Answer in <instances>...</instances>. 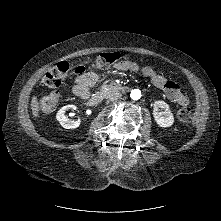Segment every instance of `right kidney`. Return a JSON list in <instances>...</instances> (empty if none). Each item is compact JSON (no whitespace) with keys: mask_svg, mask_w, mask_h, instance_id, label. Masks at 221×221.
Here are the masks:
<instances>
[{"mask_svg":"<svg viewBox=\"0 0 221 221\" xmlns=\"http://www.w3.org/2000/svg\"><path fill=\"white\" fill-rule=\"evenodd\" d=\"M69 109H73L75 110L76 107L74 105H66L63 106L62 108H60L56 114V118L59 121V123L61 124L62 127H64L65 129H75L80 125V120H70L66 115V111H68Z\"/></svg>","mask_w":221,"mask_h":221,"instance_id":"ca27d5eb","label":"right kidney"}]
</instances>
